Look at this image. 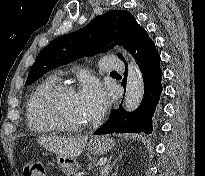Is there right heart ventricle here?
<instances>
[{
    "instance_id": "right-heart-ventricle-1",
    "label": "right heart ventricle",
    "mask_w": 205,
    "mask_h": 176,
    "mask_svg": "<svg viewBox=\"0 0 205 176\" xmlns=\"http://www.w3.org/2000/svg\"><path fill=\"white\" fill-rule=\"evenodd\" d=\"M59 84V77L49 76L42 80L32 91L26 101V121L28 128L35 134H43L53 130L52 126L42 122L36 114V107L40 97L49 89Z\"/></svg>"
}]
</instances>
